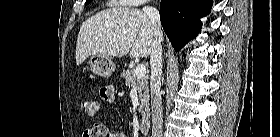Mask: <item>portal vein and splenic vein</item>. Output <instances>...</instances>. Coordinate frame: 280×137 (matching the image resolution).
I'll use <instances>...</instances> for the list:
<instances>
[{
  "mask_svg": "<svg viewBox=\"0 0 280 137\" xmlns=\"http://www.w3.org/2000/svg\"><path fill=\"white\" fill-rule=\"evenodd\" d=\"M146 74V67L143 64H138L135 69V77L137 79L143 78Z\"/></svg>",
  "mask_w": 280,
  "mask_h": 137,
  "instance_id": "1",
  "label": "portal vein and splenic vein"
}]
</instances>
